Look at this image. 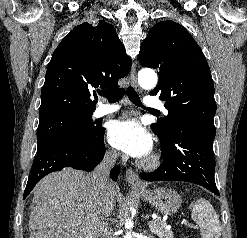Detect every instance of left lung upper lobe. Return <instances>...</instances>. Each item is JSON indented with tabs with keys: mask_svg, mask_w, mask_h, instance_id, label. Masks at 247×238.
I'll return each mask as SVG.
<instances>
[{
	"mask_svg": "<svg viewBox=\"0 0 247 238\" xmlns=\"http://www.w3.org/2000/svg\"><path fill=\"white\" fill-rule=\"evenodd\" d=\"M144 67L158 71L159 82L150 95H160L168 115L151 125L161 142L180 131L213 143L216 103L214 85L204 54L187 30L174 21L155 24L138 55Z\"/></svg>",
	"mask_w": 247,
	"mask_h": 238,
	"instance_id": "left-lung-upper-lobe-1",
	"label": "left lung upper lobe"
}]
</instances>
